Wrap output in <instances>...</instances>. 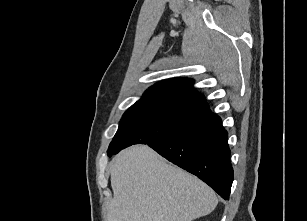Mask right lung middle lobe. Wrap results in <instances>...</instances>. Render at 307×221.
<instances>
[{
	"label": "right lung middle lobe",
	"instance_id": "1",
	"mask_svg": "<svg viewBox=\"0 0 307 221\" xmlns=\"http://www.w3.org/2000/svg\"><path fill=\"white\" fill-rule=\"evenodd\" d=\"M210 110L180 102L142 101L122 116L118 131L108 148V156L134 144H148L191 127Z\"/></svg>",
	"mask_w": 307,
	"mask_h": 221
}]
</instances>
